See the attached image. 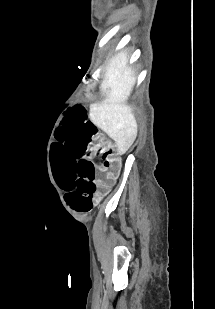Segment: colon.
I'll list each match as a JSON object with an SVG mask.
<instances>
[{
	"label": "colon",
	"instance_id": "5ec220e1",
	"mask_svg": "<svg viewBox=\"0 0 215 309\" xmlns=\"http://www.w3.org/2000/svg\"><path fill=\"white\" fill-rule=\"evenodd\" d=\"M102 166L105 171L116 174L119 171L120 163L113 151L103 153Z\"/></svg>",
	"mask_w": 215,
	"mask_h": 309
}]
</instances>
